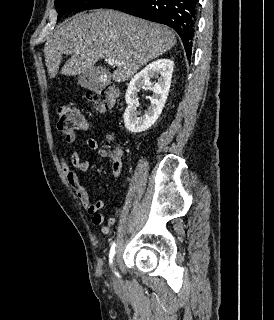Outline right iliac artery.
Here are the masks:
<instances>
[{"mask_svg": "<svg viewBox=\"0 0 274 320\" xmlns=\"http://www.w3.org/2000/svg\"><path fill=\"white\" fill-rule=\"evenodd\" d=\"M115 246L116 244L113 242L112 245H111V249H110V253H109V258H110V263L112 264L113 262V257L115 255Z\"/></svg>", "mask_w": 274, "mask_h": 320, "instance_id": "right-iliac-artery-1", "label": "right iliac artery"}]
</instances>
